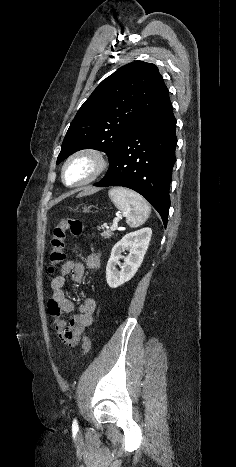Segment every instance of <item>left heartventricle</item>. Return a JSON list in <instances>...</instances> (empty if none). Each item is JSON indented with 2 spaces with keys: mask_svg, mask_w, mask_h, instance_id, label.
Instances as JSON below:
<instances>
[{
  "mask_svg": "<svg viewBox=\"0 0 236 467\" xmlns=\"http://www.w3.org/2000/svg\"><path fill=\"white\" fill-rule=\"evenodd\" d=\"M95 170V162L92 158L83 156L74 159L66 168L65 181L68 184L77 183L87 179Z\"/></svg>",
  "mask_w": 236,
  "mask_h": 467,
  "instance_id": "b2bd125f",
  "label": "left heart ventricle"
}]
</instances>
